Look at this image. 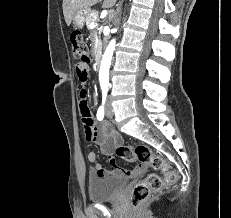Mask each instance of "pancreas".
I'll list each match as a JSON object with an SVG mask.
<instances>
[{"mask_svg":"<svg viewBox=\"0 0 231 218\" xmlns=\"http://www.w3.org/2000/svg\"><path fill=\"white\" fill-rule=\"evenodd\" d=\"M97 20H98V12L97 11H89L87 13L86 19H85L87 28L90 29V24L92 22H96ZM94 35L96 36V33H94Z\"/></svg>","mask_w":231,"mask_h":218,"instance_id":"cf45deb5","label":"pancreas"}]
</instances>
